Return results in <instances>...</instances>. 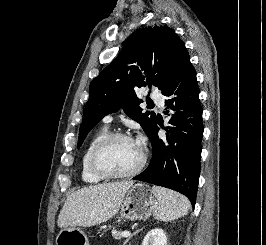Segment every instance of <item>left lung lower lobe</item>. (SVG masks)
I'll use <instances>...</instances> for the list:
<instances>
[{
	"mask_svg": "<svg viewBox=\"0 0 266 245\" xmlns=\"http://www.w3.org/2000/svg\"><path fill=\"white\" fill-rule=\"evenodd\" d=\"M162 94L167 97V109L173 111L168 122L171 126L166 139H160L157 124H161L156 119L148 135L152 143L151 162L133 179L176 190L186 195L194 207L200 175L203 124L196 71L190 57L183 60Z\"/></svg>",
	"mask_w": 266,
	"mask_h": 245,
	"instance_id": "left-lung-lower-lobe-1",
	"label": "left lung lower lobe"
}]
</instances>
